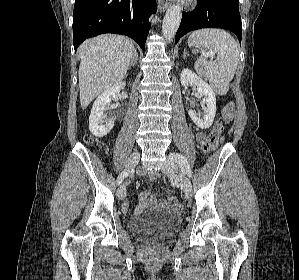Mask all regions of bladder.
<instances>
[{"mask_svg": "<svg viewBox=\"0 0 299 280\" xmlns=\"http://www.w3.org/2000/svg\"><path fill=\"white\" fill-rule=\"evenodd\" d=\"M180 219L166 210L144 211L129 223L130 230L139 238L154 243L169 239L177 230Z\"/></svg>", "mask_w": 299, "mask_h": 280, "instance_id": "obj_1", "label": "bladder"}]
</instances>
